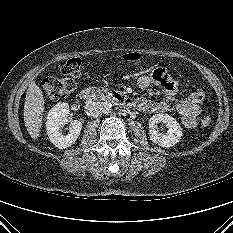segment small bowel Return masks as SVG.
<instances>
[{
	"label": "small bowel",
	"instance_id": "small-bowel-1",
	"mask_svg": "<svg viewBox=\"0 0 233 233\" xmlns=\"http://www.w3.org/2000/svg\"><path fill=\"white\" fill-rule=\"evenodd\" d=\"M137 84L141 89H147L151 84H156L162 89L164 94V98L160 101L140 97L136 101L138 109L146 113H163L174 108L185 127L191 129L196 126L197 117L200 113V108L196 103L182 99L172 105L171 102L179 88V81L167 69L156 68L151 75L139 77Z\"/></svg>",
	"mask_w": 233,
	"mask_h": 233
}]
</instances>
